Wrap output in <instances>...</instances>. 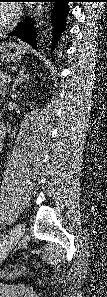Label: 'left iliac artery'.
I'll use <instances>...</instances> for the list:
<instances>
[{"instance_id":"1","label":"left iliac artery","mask_w":107,"mask_h":297,"mask_svg":"<svg viewBox=\"0 0 107 297\" xmlns=\"http://www.w3.org/2000/svg\"><path fill=\"white\" fill-rule=\"evenodd\" d=\"M6 244H7V239L5 238L2 242H0V249L2 250Z\"/></svg>"}]
</instances>
